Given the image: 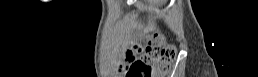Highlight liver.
<instances>
[{"mask_svg": "<svg viewBox=\"0 0 258 77\" xmlns=\"http://www.w3.org/2000/svg\"><path fill=\"white\" fill-rule=\"evenodd\" d=\"M166 2V0H149L150 5H164Z\"/></svg>", "mask_w": 258, "mask_h": 77, "instance_id": "liver-1", "label": "liver"}]
</instances>
